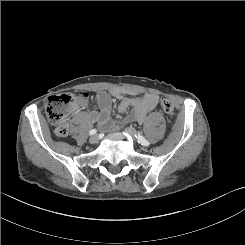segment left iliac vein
<instances>
[{
	"instance_id": "4c4485c4",
	"label": "left iliac vein",
	"mask_w": 245,
	"mask_h": 245,
	"mask_svg": "<svg viewBox=\"0 0 245 245\" xmlns=\"http://www.w3.org/2000/svg\"><path fill=\"white\" fill-rule=\"evenodd\" d=\"M125 132H126L127 134H129L130 136H132L133 138H136V131H135L134 128H132V127H127V128L125 129Z\"/></svg>"
}]
</instances>
